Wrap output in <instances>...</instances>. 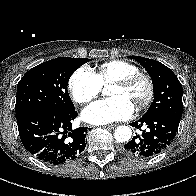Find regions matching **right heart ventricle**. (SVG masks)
<instances>
[{"label":"right heart ventricle","instance_id":"e07e8e85","mask_svg":"<svg viewBox=\"0 0 196 196\" xmlns=\"http://www.w3.org/2000/svg\"><path fill=\"white\" fill-rule=\"evenodd\" d=\"M140 72L138 66L125 60H111L102 63L96 76L101 85H107L122 77Z\"/></svg>","mask_w":196,"mask_h":196}]
</instances>
